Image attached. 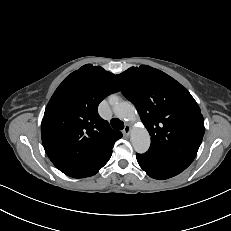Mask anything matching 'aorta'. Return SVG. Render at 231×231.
<instances>
[{
	"label": "aorta",
	"instance_id": "762f6f07",
	"mask_svg": "<svg viewBox=\"0 0 231 231\" xmlns=\"http://www.w3.org/2000/svg\"><path fill=\"white\" fill-rule=\"evenodd\" d=\"M114 114L127 121L136 119V110L134 106L127 101H120L115 98L110 99ZM151 139L149 132L145 127H136L131 133V144L137 153L143 154L150 147Z\"/></svg>",
	"mask_w": 231,
	"mask_h": 231
}]
</instances>
